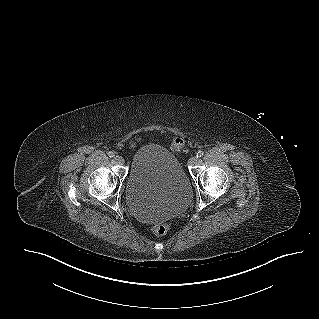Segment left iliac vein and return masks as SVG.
Listing matches in <instances>:
<instances>
[{"label":"left iliac vein","mask_w":319,"mask_h":319,"mask_svg":"<svg viewBox=\"0 0 319 319\" xmlns=\"http://www.w3.org/2000/svg\"><path fill=\"white\" fill-rule=\"evenodd\" d=\"M198 162V158L196 156H192L189 161H188V164L193 166L195 165L196 163Z\"/></svg>","instance_id":"4c4485c4"}]
</instances>
